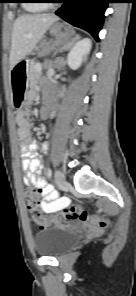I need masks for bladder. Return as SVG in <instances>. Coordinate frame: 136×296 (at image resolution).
<instances>
[{
    "instance_id": "bladder-1",
    "label": "bladder",
    "mask_w": 136,
    "mask_h": 296,
    "mask_svg": "<svg viewBox=\"0 0 136 296\" xmlns=\"http://www.w3.org/2000/svg\"><path fill=\"white\" fill-rule=\"evenodd\" d=\"M78 234L66 227L52 226L34 235L36 252L45 257H58L75 245Z\"/></svg>"
}]
</instances>
